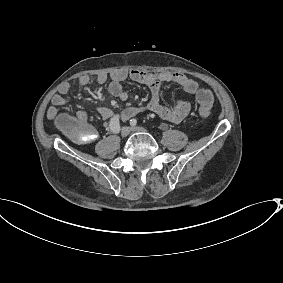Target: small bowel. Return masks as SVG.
Segmentation results:
<instances>
[{"label":"small bowel","mask_w":283,"mask_h":283,"mask_svg":"<svg viewBox=\"0 0 283 283\" xmlns=\"http://www.w3.org/2000/svg\"><path fill=\"white\" fill-rule=\"evenodd\" d=\"M108 79L111 80L108 90L109 93L118 98L121 101L128 99V93L123 88V83L127 80L144 84L150 89V99L146 105L141 107H128L121 113L123 120L137 115L144 111H150L155 113L163 120L179 123L185 119L190 111L189 101L181 97L172 106L168 107L161 103L160 94L162 88L167 84H176L180 86L187 94L198 93V83L182 73L175 72H161V73H150L143 70L132 69V70H117L112 72L110 75L100 74L96 77V81L99 84H105ZM80 86L85 87L89 85L90 78L87 75H82L77 79ZM70 91L69 83H63L51 101V106L47 110V117L50 120L58 121L61 114L59 113V107L65 105L68 101V94ZM97 111L103 120H110L113 118V112L103 106H99ZM76 117L87 123V113L79 111Z\"/></svg>","instance_id":"obj_1"}]
</instances>
